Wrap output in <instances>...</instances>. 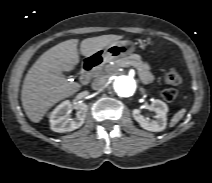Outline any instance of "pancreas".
Returning a JSON list of instances; mask_svg holds the SVG:
<instances>
[{
    "mask_svg": "<svg viewBox=\"0 0 212 183\" xmlns=\"http://www.w3.org/2000/svg\"><path fill=\"white\" fill-rule=\"evenodd\" d=\"M134 67L138 71L140 80L145 84H150L154 80V76L150 72V66L148 63L143 62L141 56L132 54L123 58L114 60V65H108L105 67L106 71H114L119 67Z\"/></svg>",
    "mask_w": 212,
    "mask_h": 183,
    "instance_id": "obj_1",
    "label": "pancreas"
}]
</instances>
